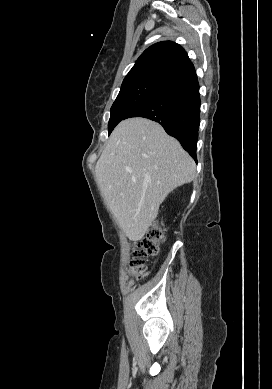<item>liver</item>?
<instances>
[{
	"mask_svg": "<svg viewBox=\"0 0 272 389\" xmlns=\"http://www.w3.org/2000/svg\"><path fill=\"white\" fill-rule=\"evenodd\" d=\"M195 171L180 143L145 118L120 122L95 167L105 200L132 241L144 237L160 204L175 188L193 181Z\"/></svg>",
	"mask_w": 272,
	"mask_h": 389,
	"instance_id": "6515ba94",
	"label": "liver"
}]
</instances>
